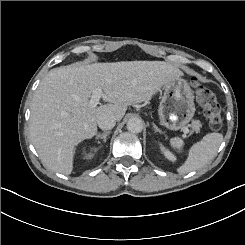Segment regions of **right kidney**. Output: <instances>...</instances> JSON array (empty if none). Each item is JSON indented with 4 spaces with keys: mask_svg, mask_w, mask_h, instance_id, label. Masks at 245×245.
<instances>
[{
    "mask_svg": "<svg viewBox=\"0 0 245 245\" xmlns=\"http://www.w3.org/2000/svg\"><path fill=\"white\" fill-rule=\"evenodd\" d=\"M91 151H97V149L93 147L91 148ZM92 157H93L92 152L85 154V159H91Z\"/></svg>",
    "mask_w": 245,
    "mask_h": 245,
    "instance_id": "1",
    "label": "right kidney"
}]
</instances>
